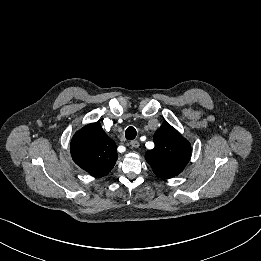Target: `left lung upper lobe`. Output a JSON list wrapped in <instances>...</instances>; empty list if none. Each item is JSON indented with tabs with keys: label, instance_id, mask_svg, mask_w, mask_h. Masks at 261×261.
<instances>
[{
	"label": "left lung upper lobe",
	"instance_id": "obj_1",
	"mask_svg": "<svg viewBox=\"0 0 261 261\" xmlns=\"http://www.w3.org/2000/svg\"><path fill=\"white\" fill-rule=\"evenodd\" d=\"M154 143V149L145 154L153 172L163 179L182 172L190 160V143L167 122L154 134Z\"/></svg>",
	"mask_w": 261,
	"mask_h": 261
}]
</instances>
